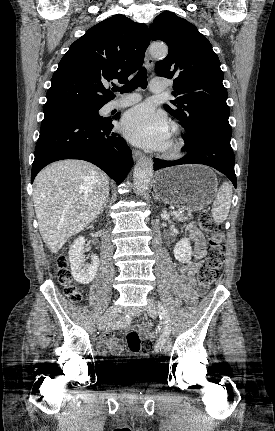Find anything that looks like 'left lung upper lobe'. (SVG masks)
<instances>
[{"label": "left lung upper lobe", "mask_w": 275, "mask_h": 431, "mask_svg": "<svg viewBox=\"0 0 275 431\" xmlns=\"http://www.w3.org/2000/svg\"><path fill=\"white\" fill-rule=\"evenodd\" d=\"M149 31L151 40H162L169 47L155 70L158 76L174 79L172 95L176 99L164 108L182 122L187 132L183 138H231L224 75L208 39L172 12L158 15Z\"/></svg>", "instance_id": "obj_1"}]
</instances>
